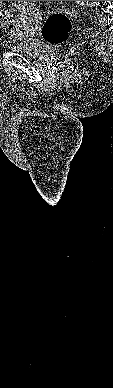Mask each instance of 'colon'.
<instances>
[{"mask_svg":"<svg viewBox=\"0 0 113 388\" xmlns=\"http://www.w3.org/2000/svg\"><path fill=\"white\" fill-rule=\"evenodd\" d=\"M0 24L9 29L15 28L14 19L3 9H0ZM71 29L72 23L68 13L55 10L44 17L41 33L44 40L49 44L61 46L68 41Z\"/></svg>","mask_w":113,"mask_h":388,"instance_id":"colon-1","label":"colon"}]
</instances>
